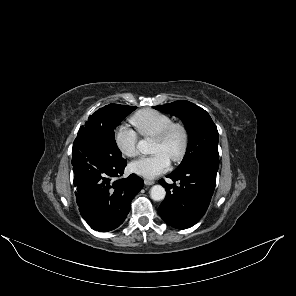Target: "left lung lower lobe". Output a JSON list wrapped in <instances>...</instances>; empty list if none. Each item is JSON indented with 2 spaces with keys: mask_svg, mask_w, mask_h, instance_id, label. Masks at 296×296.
Returning <instances> with one entry per match:
<instances>
[{
  "mask_svg": "<svg viewBox=\"0 0 296 296\" xmlns=\"http://www.w3.org/2000/svg\"><path fill=\"white\" fill-rule=\"evenodd\" d=\"M218 167L219 159H207L166 176L174 182L179 180V187L159 180L167 193L158 212L168 225L177 229H186L202 218L216 185Z\"/></svg>",
  "mask_w": 296,
  "mask_h": 296,
  "instance_id": "1",
  "label": "left lung lower lobe"
}]
</instances>
